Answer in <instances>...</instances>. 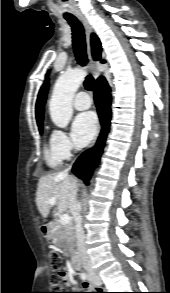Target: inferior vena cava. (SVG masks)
Returning a JSON list of instances; mask_svg holds the SVG:
<instances>
[{"label": "inferior vena cava", "instance_id": "602c4592", "mask_svg": "<svg viewBox=\"0 0 170 293\" xmlns=\"http://www.w3.org/2000/svg\"><path fill=\"white\" fill-rule=\"evenodd\" d=\"M69 169L65 172L67 173ZM77 187L75 186L71 191V211L75 220L76 230V241H77V252L82 260V264L86 270L91 269V261L88 257L86 245H85V234L82 227L80 211L76 202Z\"/></svg>", "mask_w": 170, "mask_h": 293}]
</instances>
